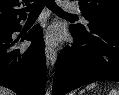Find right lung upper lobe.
Masks as SVG:
<instances>
[{"label":"right lung upper lobe","mask_w":119,"mask_h":95,"mask_svg":"<svg viewBox=\"0 0 119 95\" xmlns=\"http://www.w3.org/2000/svg\"><path fill=\"white\" fill-rule=\"evenodd\" d=\"M23 2L24 0H0V28L14 27L26 18L24 10L19 8Z\"/></svg>","instance_id":"cb5924a9"}]
</instances>
